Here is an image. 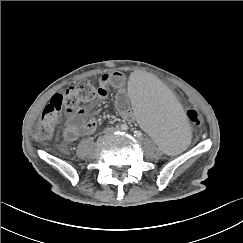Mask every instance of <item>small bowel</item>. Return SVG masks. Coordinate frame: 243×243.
Returning a JSON list of instances; mask_svg holds the SVG:
<instances>
[{
    "label": "small bowel",
    "instance_id": "obj_1",
    "mask_svg": "<svg viewBox=\"0 0 243 243\" xmlns=\"http://www.w3.org/2000/svg\"><path fill=\"white\" fill-rule=\"evenodd\" d=\"M108 86H112L117 90L115 105L120 116L126 120H132V110L130 108L128 93L125 89V77L120 72L101 76L96 93L98 98L94 103L109 95ZM94 103L66 113L65 128L62 135L64 143L73 142L80 136L91 134L95 130V118H88V111Z\"/></svg>",
    "mask_w": 243,
    "mask_h": 243
}]
</instances>
